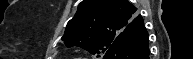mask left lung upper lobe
<instances>
[{
    "label": "left lung upper lobe",
    "instance_id": "obj_1",
    "mask_svg": "<svg viewBox=\"0 0 193 59\" xmlns=\"http://www.w3.org/2000/svg\"><path fill=\"white\" fill-rule=\"evenodd\" d=\"M140 17L127 0H83L61 39L67 47L79 46L100 57Z\"/></svg>",
    "mask_w": 193,
    "mask_h": 59
}]
</instances>
